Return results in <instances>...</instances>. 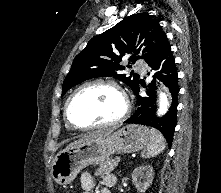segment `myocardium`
<instances>
[{"label":"myocardium","mask_w":221,"mask_h":193,"mask_svg":"<svg viewBox=\"0 0 221 193\" xmlns=\"http://www.w3.org/2000/svg\"><path fill=\"white\" fill-rule=\"evenodd\" d=\"M92 85H106L114 88L122 97L123 100V111L122 113L114 120L105 122V123H98V124H93L89 126H80L77 125L75 122L72 121L69 115V109L71 102L73 101L74 97L84 88L92 86ZM130 113V102L127 97V94L125 93L124 89L114 80L110 79H103V78H97V79H92L89 81H86L82 84H80L77 88L74 89V91L69 95L67 98L65 105H64V118L65 122L73 130L77 131H90V130H95V129H102V128H111L118 126L122 124L126 118L128 117Z\"/></svg>","instance_id":"f54148a6"}]
</instances>
